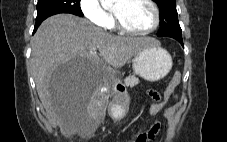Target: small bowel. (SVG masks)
<instances>
[{"label":"small bowel","mask_w":227,"mask_h":142,"mask_svg":"<svg viewBox=\"0 0 227 142\" xmlns=\"http://www.w3.org/2000/svg\"><path fill=\"white\" fill-rule=\"evenodd\" d=\"M148 95L157 102L161 99V95L154 90H149ZM161 130V123L159 121H155L152 126L138 139L137 142H154L158 133Z\"/></svg>","instance_id":"1"}]
</instances>
